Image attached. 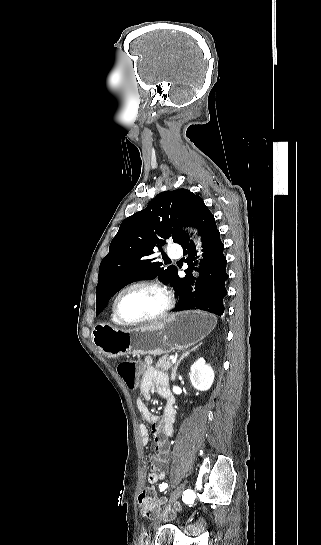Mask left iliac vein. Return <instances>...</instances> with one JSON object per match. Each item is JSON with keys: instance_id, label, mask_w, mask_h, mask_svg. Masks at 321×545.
I'll return each mask as SVG.
<instances>
[{"instance_id": "1", "label": "left iliac vein", "mask_w": 321, "mask_h": 545, "mask_svg": "<svg viewBox=\"0 0 321 545\" xmlns=\"http://www.w3.org/2000/svg\"><path fill=\"white\" fill-rule=\"evenodd\" d=\"M183 490H184V484H180L175 490L174 492L172 493L171 495V498H170V501H169V506H171L183 493ZM162 521V518H159L155 521L154 523V528L157 529V527L160 525Z\"/></svg>"}]
</instances>
